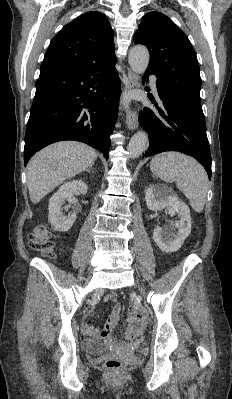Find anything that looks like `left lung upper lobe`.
<instances>
[{"mask_svg":"<svg viewBox=\"0 0 232 399\" xmlns=\"http://www.w3.org/2000/svg\"><path fill=\"white\" fill-rule=\"evenodd\" d=\"M133 41L150 52L147 72L195 114L204 117L200 103L201 78L195 50L186 34L160 12L147 13Z\"/></svg>","mask_w":232,"mask_h":399,"instance_id":"5c2ea615","label":"left lung upper lobe"}]
</instances>
